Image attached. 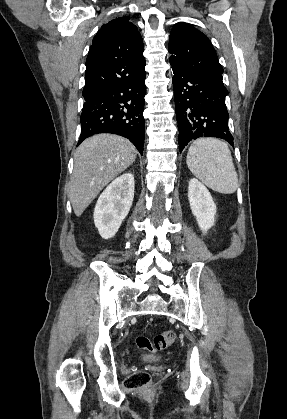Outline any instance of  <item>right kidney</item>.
Segmentation results:
<instances>
[{
    "mask_svg": "<svg viewBox=\"0 0 287 419\" xmlns=\"http://www.w3.org/2000/svg\"><path fill=\"white\" fill-rule=\"evenodd\" d=\"M134 198V176L125 173L103 191L94 210V224L104 239L112 238L128 215Z\"/></svg>",
    "mask_w": 287,
    "mask_h": 419,
    "instance_id": "ca27d5eb",
    "label": "right kidney"
}]
</instances>
